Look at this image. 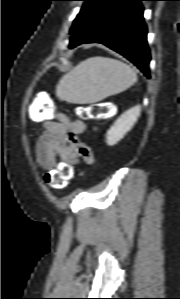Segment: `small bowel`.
<instances>
[{"label":"small bowel","instance_id":"1","mask_svg":"<svg viewBox=\"0 0 180 299\" xmlns=\"http://www.w3.org/2000/svg\"><path fill=\"white\" fill-rule=\"evenodd\" d=\"M42 119V118H39ZM44 131L35 146V161L42 170H51L57 163L93 164L95 156L89 144L80 140L86 130L82 120L64 113L43 120Z\"/></svg>","mask_w":180,"mask_h":299}]
</instances>
